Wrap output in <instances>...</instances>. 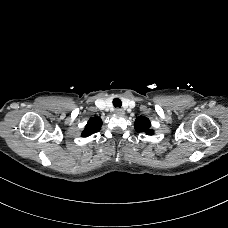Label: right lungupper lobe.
Returning <instances> with one entry per match:
<instances>
[{
  "label": "right lung upper lobe",
  "instance_id": "right-lung-upper-lobe-1",
  "mask_svg": "<svg viewBox=\"0 0 228 228\" xmlns=\"http://www.w3.org/2000/svg\"><path fill=\"white\" fill-rule=\"evenodd\" d=\"M102 126V120L99 117L90 118L84 131L82 132L83 137L90 136L92 133L98 132Z\"/></svg>",
  "mask_w": 228,
  "mask_h": 228
}]
</instances>
